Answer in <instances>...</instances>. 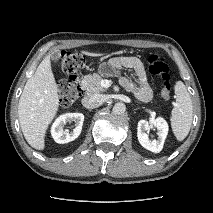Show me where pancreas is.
<instances>
[{
  "instance_id": "pancreas-1",
  "label": "pancreas",
  "mask_w": 213,
  "mask_h": 213,
  "mask_svg": "<svg viewBox=\"0 0 213 213\" xmlns=\"http://www.w3.org/2000/svg\"><path fill=\"white\" fill-rule=\"evenodd\" d=\"M101 81L102 77L94 73L93 75H85L82 82L81 86L84 90H86L87 93H99V92H104L105 88L101 86Z\"/></svg>"
}]
</instances>
